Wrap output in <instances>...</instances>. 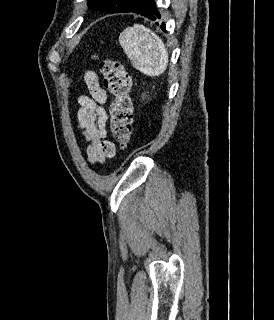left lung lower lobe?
I'll use <instances>...</instances> for the list:
<instances>
[{"label": "left lung lower lobe", "mask_w": 274, "mask_h": 320, "mask_svg": "<svg viewBox=\"0 0 274 320\" xmlns=\"http://www.w3.org/2000/svg\"><path fill=\"white\" fill-rule=\"evenodd\" d=\"M126 12H133L136 14H140L150 20H156L157 18L158 19L160 18V14L153 0H136V2L133 3L131 6L121 11V13H126ZM156 24L159 25L158 23ZM160 27L163 31H166L164 24H162Z\"/></svg>", "instance_id": "obj_1"}]
</instances>
